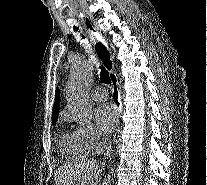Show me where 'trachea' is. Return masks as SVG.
<instances>
[{"label": "trachea", "mask_w": 207, "mask_h": 185, "mask_svg": "<svg viewBox=\"0 0 207 185\" xmlns=\"http://www.w3.org/2000/svg\"><path fill=\"white\" fill-rule=\"evenodd\" d=\"M75 30H76V28H75ZM96 51L99 55V58H101V60L104 62L103 56L106 55V53H107V50L104 47V45L102 43H97L96 44ZM100 79L103 83H107V84L111 83L109 72L107 70H105L104 68L101 69Z\"/></svg>", "instance_id": "3493384b"}]
</instances>
